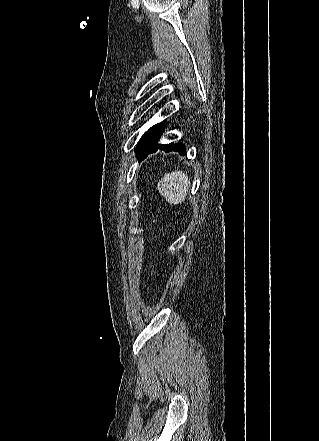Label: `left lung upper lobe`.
Instances as JSON below:
<instances>
[{"label": "left lung upper lobe", "instance_id": "5c2ea615", "mask_svg": "<svg viewBox=\"0 0 319 441\" xmlns=\"http://www.w3.org/2000/svg\"><path fill=\"white\" fill-rule=\"evenodd\" d=\"M165 125L164 122L159 123L151 127L141 138L139 141V144L137 145L135 152L140 160L142 154L147 150L149 147L153 137L156 135V133Z\"/></svg>", "mask_w": 319, "mask_h": 441}]
</instances>
